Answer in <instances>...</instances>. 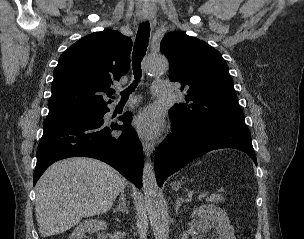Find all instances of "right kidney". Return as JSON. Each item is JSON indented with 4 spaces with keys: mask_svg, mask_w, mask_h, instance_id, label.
Listing matches in <instances>:
<instances>
[{
    "mask_svg": "<svg viewBox=\"0 0 304 239\" xmlns=\"http://www.w3.org/2000/svg\"><path fill=\"white\" fill-rule=\"evenodd\" d=\"M107 225L104 220L99 219H87L80 223L75 230L70 235L69 239H82L84 234L89 231L98 232V239H102V234L100 233L106 229Z\"/></svg>",
    "mask_w": 304,
    "mask_h": 239,
    "instance_id": "1",
    "label": "right kidney"
}]
</instances>
